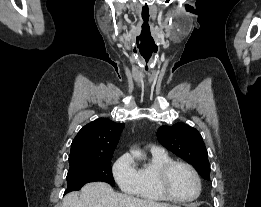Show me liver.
<instances>
[{"label": "liver", "mask_w": 261, "mask_h": 207, "mask_svg": "<svg viewBox=\"0 0 261 207\" xmlns=\"http://www.w3.org/2000/svg\"><path fill=\"white\" fill-rule=\"evenodd\" d=\"M166 203L136 198L115 192L104 182H91L81 189V194H67L61 207H170Z\"/></svg>", "instance_id": "1"}]
</instances>
